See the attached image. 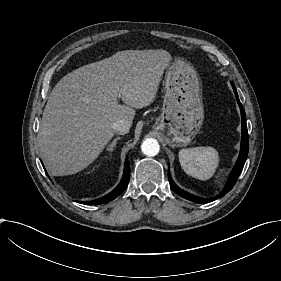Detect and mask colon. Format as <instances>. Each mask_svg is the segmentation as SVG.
Listing matches in <instances>:
<instances>
[{
	"label": "colon",
	"instance_id": "1",
	"mask_svg": "<svg viewBox=\"0 0 281 281\" xmlns=\"http://www.w3.org/2000/svg\"><path fill=\"white\" fill-rule=\"evenodd\" d=\"M218 117L221 119H225L227 117V113L225 111H219Z\"/></svg>",
	"mask_w": 281,
	"mask_h": 281
}]
</instances>
